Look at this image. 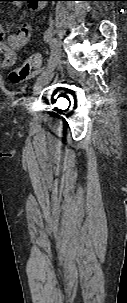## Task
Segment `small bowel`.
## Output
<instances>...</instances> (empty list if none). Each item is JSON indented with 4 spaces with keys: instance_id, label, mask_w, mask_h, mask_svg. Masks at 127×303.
Returning <instances> with one entry per match:
<instances>
[{
    "instance_id": "c3829d8e",
    "label": "small bowel",
    "mask_w": 127,
    "mask_h": 303,
    "mask_svg": "<svg viewBox=\"0 0 127 303\" xmlns=\"http://www.w3.org/2000/svg\"><path fill=\"white\" fill-rule=\"evenodd\" d=\"M42 4L32 5L33 8H40ZM31 28L27 24L19 27L14 34L5 36L3 27L0 25V51L3 54V66L12 67L17 61L16 51L24 47L30 39Z\"/></svg>"
}]
</instances>
